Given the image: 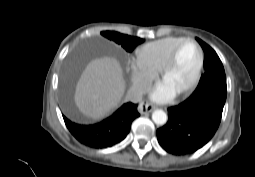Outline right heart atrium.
I'll list each match as a JSON object with an SVG mask.
<instances>
[{"mask_svg":"<svg viewBox=\"0 0 255 177\" xmlns=\"http://www.w3.org/2000/svg\"><path fill=\"white\" fill-rule=\"evenodd\" d=\"M131 80L133 88L138 91L157 75V70L145 63L139 56L131 61Z\"/></svg>","mask_w":255,"mask_h":177,"instance_id":"d8ad5b80","label":"right heart atrium"}]
</instances>
